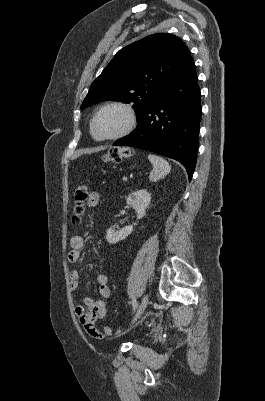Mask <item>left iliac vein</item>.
Returning a JSON list of instances; mask_svg holds the SVG:
<instances>
[{
  "instance_id": "obj_1",
  "label": "left iliac vein",
  "mask_w": 265,
  "mask_h": 401,
  "mask_svg": "<svg viewBox=\"0 0 265 401\" xmlns=\"http://www.w3.org/2000/svg\"><path fill=\"white\" fill-rule=\"evenodd\" d=\"M149 302V296L148 294H145L135 312V316L131 322V324H134L143 314L144 310L146 309L147 305Z\"/></svg>"
}]
</instances>
